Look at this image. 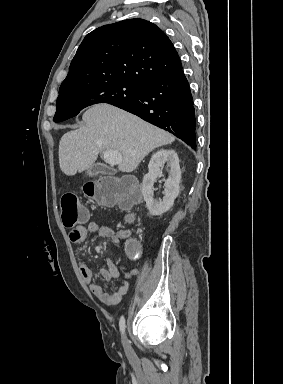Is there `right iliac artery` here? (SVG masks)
Wrapping results in <instances>:
<instances>
[{"label": "right iliac artery", "mask_w": 283, "mask_h": 384, "mask_svg": "<svg viewBox=\"0 0 283 384\" xmlns=\"http://www.w3.org/2000/svg\"><path fill=\"white\" fill-rule=\"evenodd\" d=\"M119 327L122 334L125 332V318L122 316L119 321Z\"/></svg>", "instance_id": "82829eb1"}]
</instances>
